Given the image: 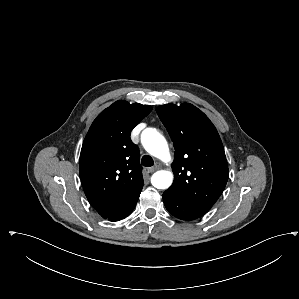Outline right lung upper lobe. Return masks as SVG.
Returning <instances> with one entry per match:
<instances>
[{
  "instance_id": "cb5924a9",
  "label": "right lung upper lobe",
  "mask_w": 299,
  "mask_h": 299,
  "mask_svg": "<svg viewBox=\"0 0 299 299\" xmlns=\"http://www.w3.org/2000/svg\"><path fill=\"white\" fill-rule=\"evenodd\" d=\"M151 106L119 100L92 123L80 154V178L89 203L108 218L140 194L139 149L130 133Z\"/></svg>"
}]
</instances>
